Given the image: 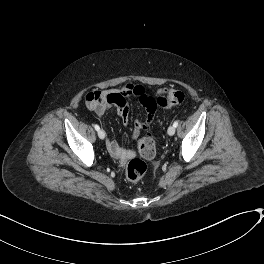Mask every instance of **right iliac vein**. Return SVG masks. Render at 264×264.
I'll list each match as a JSON object with an SVG mask.
<instances>
[{
    "mask_svg": "<svg viewBox=\"0 0 264 264\" xmlns=\"http://www.w3.org/2000/svg\"><path fill=\"white\" fill-rule=\"evenodd\" d=\"M98 137H99L100 139H104V138H105V132H104L103 130H99V131H98Z\"/></svg>",
    "mask_w": 264,
    "mask_h": 264,
    "instance_id": "1",
    "label": "right iliac vein"
}]
</instances>
